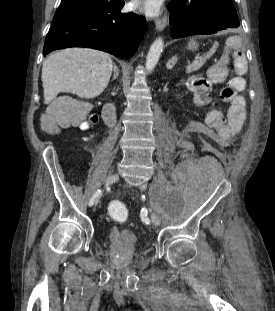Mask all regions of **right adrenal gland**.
<instances>
[{
	"label": "right adrenal gland",
	"mask_w": 275,
	"mask_h": 311,
	"mask_svg": "<svg viewBox=\"0 0 275 311\" xmlns=\"http://www.w3.org/2000/svg\"><path fill=\"white\" fill-rule=\"evenodd\" d=\"M113 72H114V75H113V78H112L111 81L116 80L119 77V74H120L118 66L115 63H113Z\"/></svg>",
	"instance_id": "right-adrenal-gland-1"
}]
</instances>
